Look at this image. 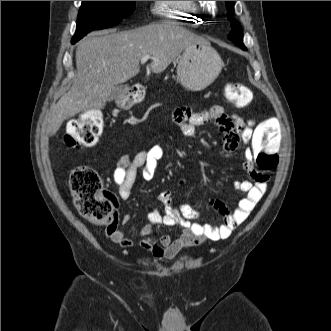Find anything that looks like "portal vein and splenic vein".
Listing matches in <instances>:
<instances>
[{
    "mask_svg": "<svg viewBox=\"0 0 331 331\" xmlns=\"http://www.w3.org/2000/svg\"><path fill=\"white\" fill-rule=\"evenodd\" d=\"M148 59H150V55H144L142 58H141V64H144L148 61Z\"/></svg>",
    "mask_w": 331,
    "mask_h": 331,
    "instance_id": "obj_1",
    "label": "portal vein and splenic vein"
}]
</instances>
